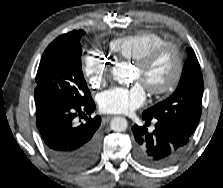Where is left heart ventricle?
<instances>
[{
	"label": "left heart ventricle",
	"mask_w": 223,
	"mask_h": 188,
	"mask_svg": "<svg viewBox=\"0 0 223 188\" xmlns=\"http://www.w3.org/2000/svg\"><path fill=\"white\" fill-rule=\"evenodd\" d=\"M174 70L173 53L164 51L157 60L145 71L134 69L133 78L143 84L144 87L164 86L171 78Z\"/></svg>",
	"instance_id": "b2bd125f"
}]
</instances>
